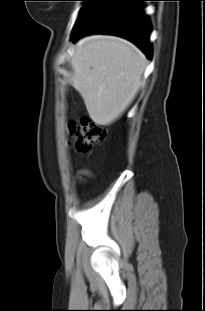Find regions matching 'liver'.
Instances as JSON below:
<instances>
[{"label":"liver","mask_w":205,"mask_h":311,"mask_svg":"<svg viewBox=\"0 0 205 311\" xmlns=\"http://www.w3.org/2000/svg\"><path fill=\"white\" fill-rule=\"evenodd\" d=\"M72 86L82 96L94 123L118 119L137 95L147 60L130 42L114 36L82 39L70 60Z\"/></svg>","instance_id":"liver-1"}]
</instances>
